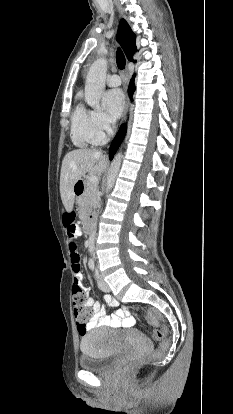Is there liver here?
Masks as SVG:
<instances>
[{
    "label": "liver",
    "mask_w": 233,
    "mask_h": 414,
    "mask_svg": "<svg viewBox=\"0 0 233 414\" xmlns=\"http://www.w3.org/2000/svg\"><path fill=\"white\" fill-rule=\"evenodd\" d=\"M107 165V156L97 149H76L65 155L60 174V194L67 212L73 210L74 185L86 173L101 175Z\"/></svg>",
    "instance_id": "6515ba94"
}]
</instances>
